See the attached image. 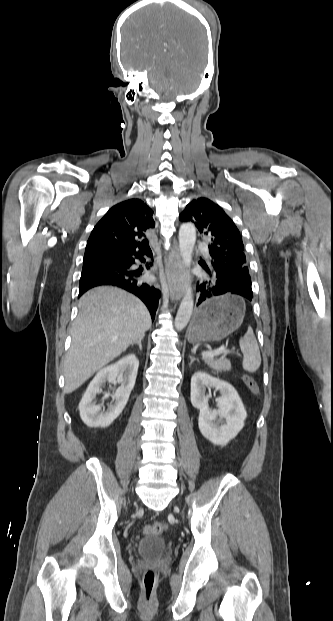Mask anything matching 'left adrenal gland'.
Here are the masks:
<instances>
[{"mask_svg":"<svg viewBox=\"0 0 333 621\" xmlns=\"http://www.w3.org/2000/svg\"><path fill=\"white\" fill-rule=\"evenodd\" d=\"M189 358H190V363H189V366H191V365L193 364V362H194V361H198L196 358H194V357H192V356H189Z\"/></svg>","mask_w":333,"mask_h":621,"instance_id":"obj_1","label":"left adrenal gland"}]
</instances>
